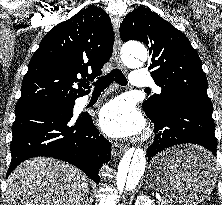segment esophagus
I'll return each instance as SVG.
<instances>
[{
    "instance_id": "obj_1",
    "label": "esophagus",
    "mask_w": 222,
    "mask_h": 205,
    "mask_svg": "<svg viewBox=\"0 0 222 205\" xmlns=\"http://www.w3.org/2000/svg\"><path fill=\"white\" fill-rule=\"evenodd\" d=\"M119 26H120V19L115 18L113 20V27H114V33H115V42H114V60L119 68L125 70V66L123 65L121 59H120V48H121V40L119 35ZM125 150V147L121 144H114L112 148L113 156H119L123 151Z\"/></svg>"
}]
</instances>
